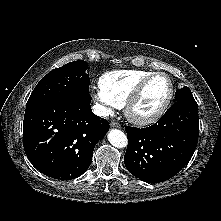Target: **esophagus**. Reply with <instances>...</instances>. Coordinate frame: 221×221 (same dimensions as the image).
Returning <instances> with one entry per match:
<instances>
[{
	"label": "esophagus",
	"instance_id": "1",
	"mask_svg": "<svg viewBox=\"0 0 221 221\" xmlns=\"http://www.w3.org/2000/svg\"><path fill=\"white\" fill-rule=\"evenodd\" d=\"M110 126L112 128H120L121 127L120 123L116 122V121H111Z\"/></svg>",
	"mask_w": 221,
	"mask_h": 221
}]
</instances>
